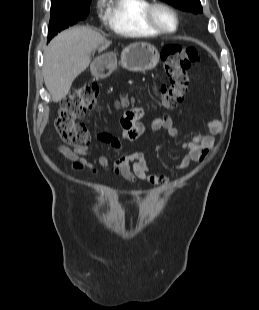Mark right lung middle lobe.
Here are the masks:
<instances>
[{
    "instance_id": "1",
    "label": "right lung middle lobe",
    "mask_w": 259,
    "mask_h": 310,
    "mask_svg": "<svg viewBox=\"0 0 259 310\" xmlns=\"http://www.w3.org/2000/svg\"><path fill=\"white\" fill-rule=\"evenodd\" d=\"M90 2L91 0H88L82 4L51 8L48 40L61 30L68 28L79 20L85 19L89 13L88 5Z\"/></svg>"
}]
</instances>
